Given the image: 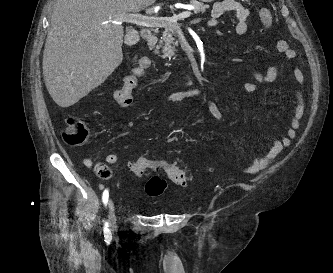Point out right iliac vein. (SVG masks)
Here are the masks:
<instances>
[{"instance_id": "63e3f726", "label": "right iliac vein", "mask_w": 333, "mask_h": 273, "mask_svg": "<svg viewBox=\"0 0 333 273\" xmlns=\"http://www.w3.org/2000/svg\"><path fill=\"white\" fill-rule=\"evenodd\" d=\"M109 225L112 232L117 231L115 207L112 199L109 201Z\"/></svg>"}]
</instances>
